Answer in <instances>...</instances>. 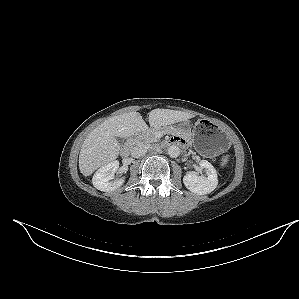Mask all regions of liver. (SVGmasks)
Instances as JSON below:
<instances>
[{"label": "liver", "instance_id": "6515ba94", "mask_svg": "<svg viewBox=\"0 0 299 299\" xmlns=\"http://www.w3.org/2000/svg\"><path fill=\"white\" fill-rule=\"evenodd\" d=\"M188 112L170 109H154L149 113L151 127H162L193 118ZM139 112H129L110 117L92 130L85 138L80 154L79 169L84 176H90L99 167L114 161L120 151L117 137L128 138L147 129Z\"/></svg>", "mask_w": 299, "mask_h": 299}]
</instances>
